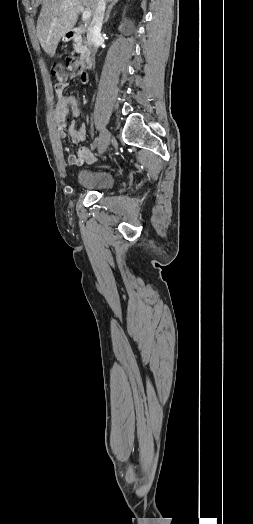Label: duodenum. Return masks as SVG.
<instances>
[{"label":"duodenum","instance_id":"duodenum-1","mask_svg":"<svg viewBox=\"0 0 253 524\" xmlns=\"http://www.w3.org/2000/svg\"><path fill=\"white\" fill-rule=\"evenodd\" d=\"M84 33H85V28L77 27V28L70 30L66 34V37L69 40L80 41ZM79 62L81 63V68H84L85 70L90 69L92 67V56H91L89 49H87L86 47H82L80 49Z\"/></svg>","mask_w":253,"mask_h":524}]
</instances>
